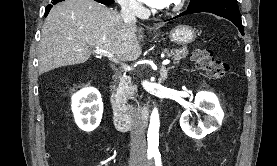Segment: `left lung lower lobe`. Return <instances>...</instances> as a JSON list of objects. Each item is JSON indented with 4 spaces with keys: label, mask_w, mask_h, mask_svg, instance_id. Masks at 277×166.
Segmentation results:
<instances>
[{
    "label": "left lung lower lobe",
    "mask_w": 277,
    "mask_h": 166,
    "mask_svg": "<svg viewBox=\"0 0 277 166\" xmlns=\"http://www.w3.org/2000/svg\"><path fill=\"white\" fill-rule=\"evenodd\" d=\"M199 12L213 13L220 17H224V18L230 20L238 27L241 34L244 35L243 25L241 22V15H240V12L238 9V5L236 3H225V2L208 3V4L198 6L196 8H193V9H187V11L181 13L180 15H178L172 19L178 18L180 16H184L187 14L199 13ZM169 20H171V19H169Z\"/></svg>",
    "instance_id": "obj_1"
}]
</instances>
